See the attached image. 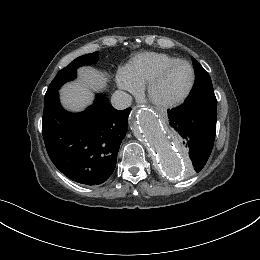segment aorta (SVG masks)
Instances as JSON below:
<instances>
[{
	"instance_id": "1",
	"label": "aorta",
	"mask_w": 260,
	"mask_h": 260,
	"mask_svg": "<svg viewBox=\"0 0 260 260\" xmlns=\"http://www.w3.org/2000/svg\"><path fill=\"white\" fill-rule=\"evenodd\" d=\"M134 135L154 155L162 171L169 177H176L189 169L180 150V141L169 134L160 119L147 109L139 110L131 119Z\"/></svg>"
}]
</instances>
